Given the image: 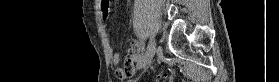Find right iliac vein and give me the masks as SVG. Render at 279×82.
Returning <instances> with one entry per match:
<instances>
[{"instance_id": "right-iliac-vein-1", "label": "right iliac vein", "mask_w": 279, "mask_h": 82, "mask_svg": "<svg viewBox=\"0 0 279 82\" xmlns=\"http://www.w3.org/2000/svg\"><path fill=\"white\" fill-rule=\"evenodd\" d=\"M155 50H156V42L154 38H151L145 55L141 58V60L137 64V69H142L143 67L147 66L151 62Z\"/></svg>"}]
</instances>
